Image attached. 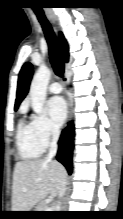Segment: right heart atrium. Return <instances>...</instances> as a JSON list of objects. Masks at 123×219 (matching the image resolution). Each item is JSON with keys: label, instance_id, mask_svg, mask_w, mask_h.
<instances>
[{"label": "right heart atrium", "instance_id": "1", "mask_svg": "<svg viewBox=\"0 0 123 219\" xmlns=\"http://www.w3.org/2000/svg\"><path fill=\"white\" fill-rule=\"evenodd\" d=\"M31 124L39 142L44 148L58 137L59 129L44 114L33 115Z\"/></svg>", "mask_w": 123, "mask_h": 219}]
</instances>
